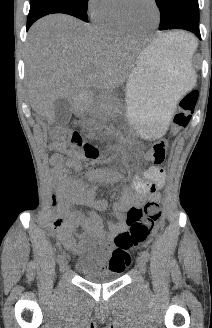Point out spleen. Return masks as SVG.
Returning <instances> with one entry per match:
<instances>
[{"label": "spleen", "mask_w": 212, "mask_h": 328, "mask_svg": "<svg viewBox=\"0 0 212 328\" xmlns=\"http://www.w3.org/2000/svg\"><path fill=\"white\" fill-rule=\"evenodd\" d=\"M168 38H169L168 40L167 39H161V40L170 42L175 46L183 49L184 53L191 57L198 46V42L195 39V37L185 32H175L169 35Z\"/></svg>", "instance_id": "1"}]
</instances>
